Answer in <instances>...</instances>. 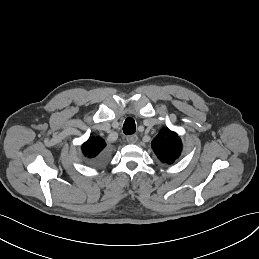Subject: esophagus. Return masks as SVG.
Wrapping results in <instances>:
<instances>
[{
  "mask_svg": "<svg viewBox=\"0 0 259 259\" xmlns=\"http://www.w3.org/2000/svg\"><path fill=\"white\" fill-rule=\"evenodd\" d=\"M137 139H138V137H137L136 134L129 135V136L126 137V140H127V142H128L129 144H134V143H136V142H137Z\"/></svg>",
  "mask_w": 259,
  "mask_h": 259,
  "instance_id": "1",
  "label": "esophagus"
}]
</instances>
